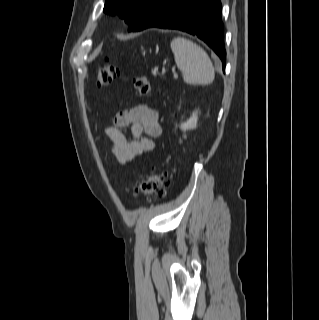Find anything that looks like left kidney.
Segmentation results:
<instances>
[{"instance_id":"5707ae66","label":"left kidney","mask_w":319,"mask_h":320,"mask_svg":"<svg viewBox=\"0 0 319 320\" xmlns=\"http://www.w3.org/2000/svg\"><path fill=\"white\" fill-rule=\"evenodd\" d=\"M198 121V111L193 112L192 116L180 125L182 131L195 129ZM185 137V136H184Z\"/></svg>"}]
</instances>
